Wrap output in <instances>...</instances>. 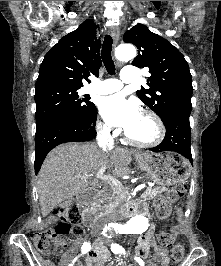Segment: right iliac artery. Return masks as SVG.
<instances>
[{
    "mask_svg": "<svg viewBox=\"0 0 221 266\" xmlns=\"http://www.w3.org/2000/svg\"><path fill=\"white\" fill-rule=\"evenodd\" d=\"M91 249V245L89 242H84L81 248V252L82 254L87 253L88 251H90ZM78 259V257H76L71 264H69V266H73L74 262Z\"/></svg>",
    "mask_w": 221,
    "mask_h": 266,
    "instance_id": "1",
    "label": "right iliac artery"
}]
</instances>
